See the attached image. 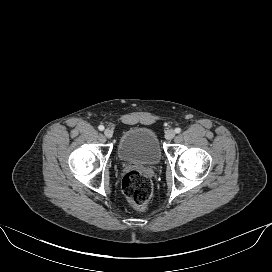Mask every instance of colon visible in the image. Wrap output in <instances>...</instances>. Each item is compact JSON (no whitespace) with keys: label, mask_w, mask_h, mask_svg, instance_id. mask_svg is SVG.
Instances as JSON below:
<instances>
[{"label":"colon","mask_w":272,"mask_h":272,"mask_svg":"<svg viewBox=\"0 0 272 272\" xmlns=\"http://www.w3.org/2000/svg\"><path fill=\"white\" fill-rule=\"evenodd\" d=\"M122 191L127 200L136 208L144 209L151 198V180L142 172L133 170L122 179Z\"/></svg>","instance_id":"1"}]
</instances>
